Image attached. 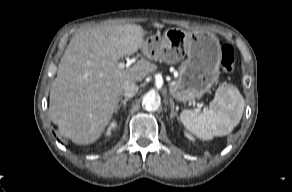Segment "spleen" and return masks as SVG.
I'll use <instances>...</instances> for the list:
<instances>
[{"instance_id": "3e777b00", "label": "spleen", "mask_w": 292, "mask_h": 192, "mask_svg": "<svg viewBox=\"0 0 292 192\" xmlns=\"http://www.w3.org/2000/svg\"><path fill=\"white\" fill-rule=\"evenodd\" d=\"M245 101L234 85L219 87L209 106L198 114L183 110L180 121L184 127L201 140H211L214 136H225L238 125L244 111Z\"/></svg>"}]
</instances>
